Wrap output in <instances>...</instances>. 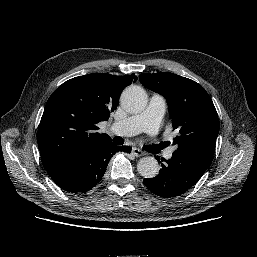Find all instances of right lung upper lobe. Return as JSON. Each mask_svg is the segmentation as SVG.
Segmentation results:
<instances>
[{"label":"right lung upper lobe","mask_w":257,"mask_h":257,"mask_svg":"<svg viewBox=\"0 0 257 257\" xmlns=\"http://www.w3.org/2000/svg\"><path fill=\"white\" fill-rule=\"evenodd\" d=\"M137 77L93 73L72 78L48 99L37 134L42 162L47 170L64 158L111 142L96 132L108 120L122 90Z\"/></svg>","instance_id":"cb5924a9"}]
</instances>
